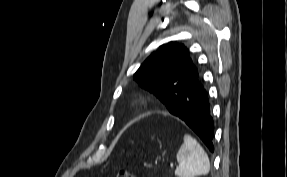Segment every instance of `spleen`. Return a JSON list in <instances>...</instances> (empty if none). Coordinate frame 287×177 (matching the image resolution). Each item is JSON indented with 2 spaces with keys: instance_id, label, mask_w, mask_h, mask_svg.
Here are the masks:
<instances>
[{
  "instance_id": "3e777b00",
  "label": "spleen",
  "mask_w": 287,
  "mask_h": 177,
  "mask_svg": "<svg viewBox=\"0 0 287 177\" xmlns=\"http://www.w3.org/2000/svg\"><path fill=\"white\" fill-rule=\"evenodd\" d=\"M176 158L179 166L175 170L178 177L205 175L210 170L209 158L201 145L190 135H185Z\"/></svg>"
}]
</instances>
